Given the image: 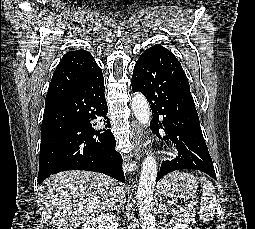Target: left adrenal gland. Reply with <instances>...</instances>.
I'll use <instances>...</instances> for the list:
<instances>
[{
    "mask_svg": "<svg viewBox=\"0 0 255 229\" xmlns=\"http://www.w3.org/2000/svg\"><path fill=\"white\" fill-rule=\"evenodd\" d=\"M159 210H160V212H165V213H167V208H166V206H165V203H164L163 199L160 200Z\"/></svg>",
    "mask_w": 255,
    "mask_h": 229,
    "instance_id": "left-adrenal-gland-1",
    "label": "left adrenal gland"
}]
</instances>
